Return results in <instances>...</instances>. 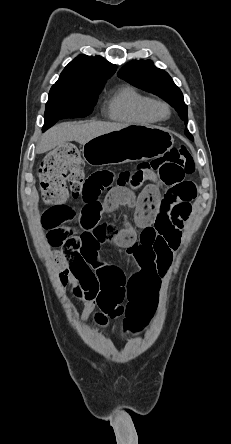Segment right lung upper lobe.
Wrapping results in <instances>:
<instances>
[{
  "instance_id": "cb5924a9",
  "label": "right lung upper lobe",
  "mask_w": 231,
  "mask_h": 444,
  "mask_svg": "<svg viewBox=\"0 0 231 444\" xmlns=\"http://www.w3.org/2000/svg\"><path fill=\"white\" fill-rule=\"evenodd\" d=\"M116 65L101 56L79 55L62 71L51 90L94 91L102 89L116 71Z\"/></svg>"
}]
</instances>
